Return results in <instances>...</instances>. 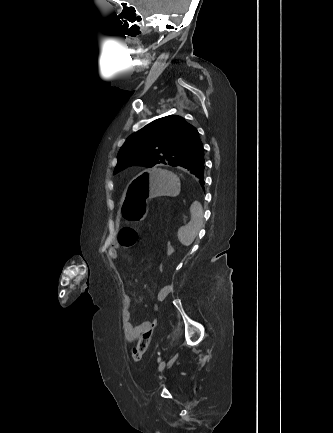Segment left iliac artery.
I'll list each match as a JSON object with an SVG mask.
<instances>
[{
  "label": "left iliac artery",
  "mask_w": 333,
  "mask_h": 433,
  "mask_svg": "<svg viewBox=\"0 0 333 433\" xmlns=\"http://www.w3.org/2000/svg\"><path fill=\"white\" fill-rule=\"evenodd\" d=\"M160 360H161V358L159 357V358H158V362H160ZM172 362H174V361H172Z\"/></svg>",
  "instance_id": "1"
}]
</instances>
